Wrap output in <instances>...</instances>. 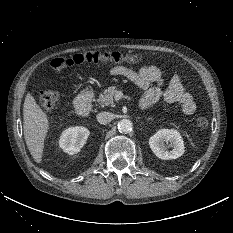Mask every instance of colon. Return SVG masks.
<instances>
[{
  "mask_svg": "<svg viewBox=\"0 0 233 233\" xmlns=\"http://www.w3.org/2000/svg\"><path fill=\"white\" fill-rule=\"evenodd\" d=\"M141 54H122L120 52H100L97 50H88L77 53L72 56L59 57L51 61V66L54 69L61 70L73 65L83 63H137L142 60ZM59 94L55 90H45L39 96V104L42 109L50 110L54 108L58 102ZM197 126L200 129L208 127V120L205 117L197 119Z\"/></svg>",
  "mask_w": 233,
  "mask_h": 233,
  "instance_id": "colon-1",
  "label": "colon"
}]
</instances>
